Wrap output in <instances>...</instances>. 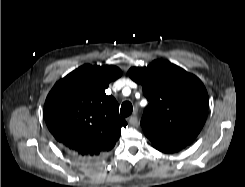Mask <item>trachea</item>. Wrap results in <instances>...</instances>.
I'll return each instance as SVG.
<instances>
[{
  "instance_id": "trachea-1",
  "label": "trachea",
  "mask_w": 245,
  "mask_h": 187,
  "mask_svg": "<svg viewBox=\"0 0 245 187\" xmlns=\"http://www.w3.org/2000/svg\"><path fill=\"white\" fill-rule=\"evenodd\" d=\"M132 111H133V106L131 102L129 101L123 102L120 109L121 116L128 117L129 115H131Z\"/></svg>"
}]
</instances>
